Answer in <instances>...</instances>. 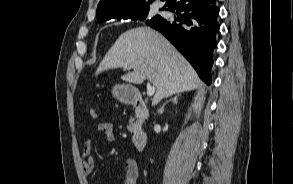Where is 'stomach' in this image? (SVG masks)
Masks as SVG:
<instances>
[{
    "label": "stomach",
    "mask_w": 293,
    "mask_h": 184,
    "mask_svg": "<svg viewBox=\"0 0 293 184\" xmlns=\"http://www.w3.org/2000/svg\"><path fill=\"white\" fill-rule=\"evenodd\" d=\"M113 97L122 103H132L139 96V91L129 84H118L112 89Z\"/></svg>",
    "instance_id": "obj_1"
}]
</instances>
